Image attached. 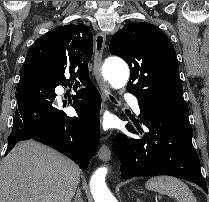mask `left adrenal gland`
Listing matches in <instances>:
<instances>
[{
  "label": "left adrenal gland",
  "mask_w": 209,
  "mask_h": 202,
  "mask_svg": "<svg viewBox=\"0 0 209 202\" xmlns=\"http://www.w3.org/2000/svg\"><path fill=\"white\" fill-rule=\"evenodd\" d=\"M137 202H142L140 199H137Z\"/></svg>",
  "instance_id": "left-adrenal-gland-1"
}]
</instances>
